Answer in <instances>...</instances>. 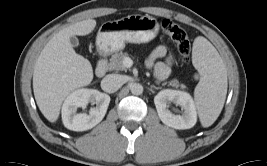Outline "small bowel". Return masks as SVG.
<instances>
[{
    "instance_id": "small-bowel-1",
    "label": "small bowel",
    "mask_w": 267,
    "mask_h": 166,
    "mask_svg": "<svg viewBox=\"0 0 267 166\" xmlns=\"http://www.w3.org/2000/svg\"><path fill=\"white\" fill-rule=\"evenodd\" d=\"M163 57H166L165 61L157 62L159 58ZM171 60L172 58L171 55L168 53L167 48L163 45H160L149 56L146 61V66L154 70V74L158 79L163 80L167 78L170 73Z\"/></svg>"
}]
</instances>
